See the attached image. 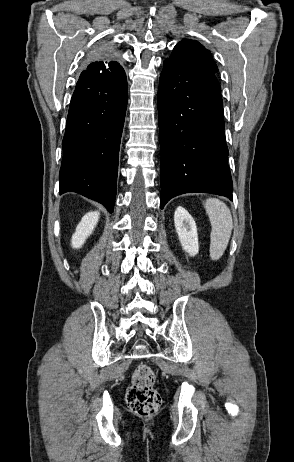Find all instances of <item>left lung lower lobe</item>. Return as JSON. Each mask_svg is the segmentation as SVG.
<instances>
[{"instance_id": "1", "label": "left lung lower lobe", "mask_w": 294, "mask_h": 462, "mask_svg": "<svg viewBox=\"0 0 294 462\" xmlns=\"http://www.w3.org/2000/svg\"><path fill=\"white\" fill-rule=\"evenodd\" d=\"M160 207L174 196L206 192L232 197L223 101L214 74L165 60L158 89Z\"/></svg>"}]
</instances>
